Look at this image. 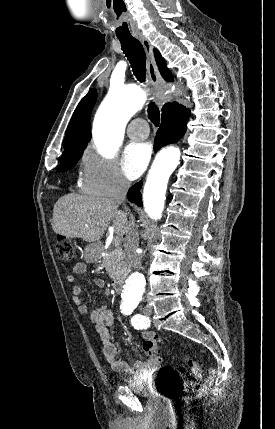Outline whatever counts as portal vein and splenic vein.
Listing matches in <instances>:
<instances>
[{
	"label": "portal vein and splenic vein",
	"instance_id": "obj_1",
	"mask_svg": "<svg viewBox=\"0 0 275 429\" xmlns=\"http://www.w3.org/2000/svg\"><path fill=\"white\" fill-rule=\"evenodd\" d=\"M113 242L117 245V244H119V243H120V239H119L118 237H117V238H114Z\"/></svg>",
	"mask_w": 275,
	"mask_h": 429
}]
</instances>
